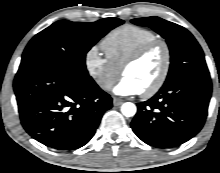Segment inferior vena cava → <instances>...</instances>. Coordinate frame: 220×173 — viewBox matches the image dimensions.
Segmentation results:
<instances>
[{
	"label": "inferior vena cava",
	"instance_id": "inferior-vena-cava-1",
	"mask_svg": "<svg viewBox=\"0 0 220 173\" xmlns=\"http://www.w3.org/2000/svg\"><path fill=\"white\" fill-rule=\"evenodd\" d=\"M112 86H113L112 83H108V82H107V83L103 86V88L106 89V90H109V89L112 88Z\"/></svg>",
	"mask_w": 220,
	"mask_h": 173
}]
</instances>
